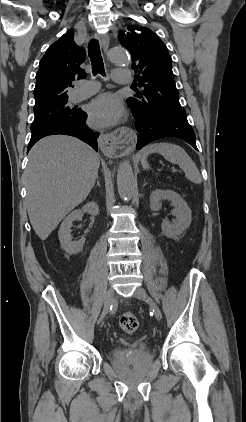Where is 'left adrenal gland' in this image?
Wrapping results in <instances>:
<instances>
[{
  "label": "left adrenal gland",
  "instance_id": "obj_1",
  "mask_svg": "<svg viewBox=\"0 0 246 422\" xmlns=\"http://www.w3.org/2000/svg\"><path fill=\"white\" fill-rule=\"evenodd\" d=\"M146 185H147V182H146V181H144L143 187H145Z\"/></svg>",
  "mask_w": 246,
  "mask_h": 422
}]
</instances>
